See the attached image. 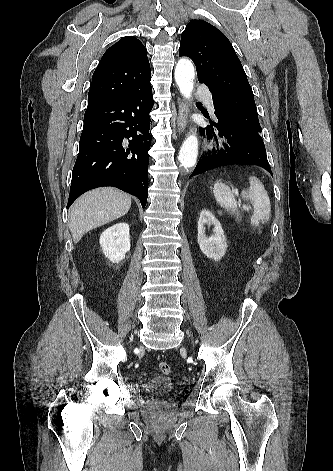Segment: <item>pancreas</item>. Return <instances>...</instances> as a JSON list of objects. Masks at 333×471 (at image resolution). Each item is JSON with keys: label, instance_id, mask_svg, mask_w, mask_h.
Listing matches in <instances>:
<instances>
[{"label": "pancreas", "instance_id": "pancreas-1", "mask_svg": "<svg viewBox=\"0 0 333 471\" xmlns=\"http://www.w3.org/2000/svg\"><path fill=\"white\" fill-rule=\"evenodd\" d=\"M235 219H236V221H237L238 223L241 222V215H240V214H237V215L235 216Z\"/></svg>", "mask_w": 333, "mask_h": 471}]
</instances>
